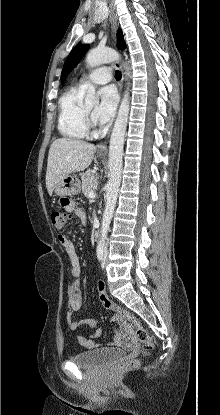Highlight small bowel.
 Here are the masks:
<instances>
[{
    "mask_svg": "<svg viewBox=\"0 0 220 415\" xmlns=\"http://www.w3.org/2000/svg\"><path fill=\"white\" fill-rule=\"evenodd\" d=\"M66 210L76 214L84 223H86V215L82 208L75 204H70L66 207ZM70 231L66 234H60L58 236V241L65 250V253L68 257V269L70 275L73 277V280L68 287V296H69V309L67 312V323L70 330H77L81 325H87L95 329L92 337H99L102 335L103 330L97 327V321L95 319H86L82 321H77L74 317V314L80 309L82 303V294L79 287L78 277L81 272L79 257L76 253L73 242L69 238ZM98 292H104V284H98ZM78 342L87 349L98 348L99 345L92 341L89 337L85 335H78ZM122 343V339L118 336L114 337L113 344L119 345Z\"/></svg>",
    "mask_w": 220,
    "mask_h": 415,
    "instance_id": "1",
    "label": "small bowel"
}]
</instances>
